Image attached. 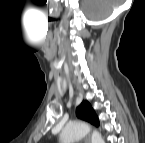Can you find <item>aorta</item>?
Wrapping results in <instances>:
<instances>
[{
    "mask_svg": "<svg viewBox=\"0 0 145 143\" xmlns=\"http://www.w3.org/2000/svg\"><path fill=\"white\" fill-rule=\"evenodd\" d=\"M90 132V127L82 121H74L67 124L61 132V141L63 143H73ZM91 143H104L102 135L93 130L91 134Z\"/></svg>",
    "mask_w": 145,
    "mask_h": 143,
    "instance_id": "762f6f07",
    "label": "aorta"
}]
</instances>
